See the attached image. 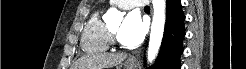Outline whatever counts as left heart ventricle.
Here are the masks:
<instances>
[{
  "label": "left heart ventricle",
  "mask_w": 246,
  "mask_h": 69,
  "mask_svg": "<svg viewBox=\"0 0 246 69\" xmlns=\"http://www.w3.org/2000/svg\"><path fill=\"white\" fill-rule=\"evenodd\" d=\"M112 31H113L116 35H118V34H119V31H120V26L114 27V28L112 29Z\"/></svg>",
  "instance_id": "b2bd125f"
}]
</instances>
